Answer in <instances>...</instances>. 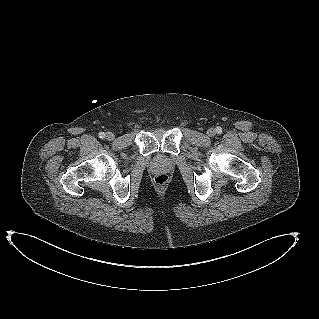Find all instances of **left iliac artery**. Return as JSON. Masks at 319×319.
I'll use <instances>...</instances> for the list:
<instances>
[{
    "label": "left iliac artery",
    "mask_w": 319,
    "mask_h": 319,
    "mask_svg": "<svg viewBox=\"0 0 319 319\" xmlns=\"http://www.w3.org/2000/svg\"><path fill=\"white\" fill-rule=\"evenodd\" d=\"M216 132H217L218 134H220V133L222 132L221 127H217V128H216Z\"/></svg>",
    "instance_id": "1"
}]
</instances>
